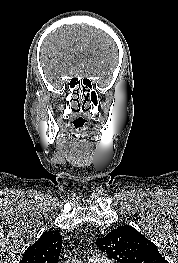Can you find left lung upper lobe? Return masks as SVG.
Returning <instances> with one entry per match:
<instances>
[{
    "mask_svg": "<svg viewBox=\"0 0 178 263\" xmlns=\"http://www.w3.org/2000/svg\"><path fill=\"white\" fill-rule=\"evenodd\" d=\"M96 245L119 263H168L151 241L128 225L112 230Z\"/></svg>",
    "mask_w": 178,
    "mask_h": 263,
    "instance_id": "1",
    "label": "left lung upper lobe"
}]
</instances>
